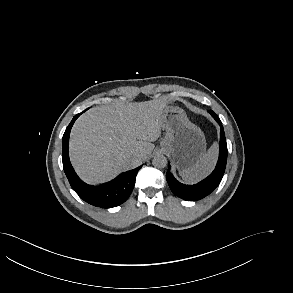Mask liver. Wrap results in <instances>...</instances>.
<instances>
[{
	"instance_id": "1",
	"label": "liver",
	"mask_w": 293,
	"mask_h": 293,
	"mask_svg": "<svg viewBox=\"0 0 293 293\" xmlns=\"http://www.w3.org/2000/svg\"><path fill=\"white\" fill-rule=\"evenodd\" d=\"M166 108V101L154 99L116 101L86 111L70 136V159L77 174L87 183L98 184L145 161L161 134Z\"/></svg>"
}]
</instances>
